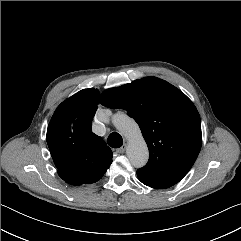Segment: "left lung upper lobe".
Returning a JSON list of instances; mask_svg holds the SVG:
<instances>
[{"label": "left lung upper lobe", "instance_id": "5c2ea615", "mask_svg": "<svg viewBox=\"0 0 241 241\" xmlns=\"http://www.w3.org/2000/svg\"><path fill=\"white\" fill-rule=\"evenodd\" d=\"M103 106L127 111L148 144L142 170L179 182L191 169L202 145L201 120L193 102L170 83L148 77L105 90Z\"/></svg>", "mask_w": 241, "mask_h": 241}]
</instances>
